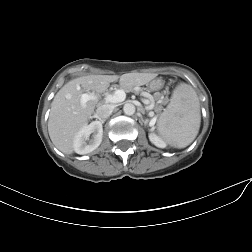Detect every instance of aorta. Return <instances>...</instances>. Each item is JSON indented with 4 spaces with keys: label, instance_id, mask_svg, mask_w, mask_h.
Returning a JSON list of instances; mask_svg holds the SVG:
<instances>
[{
    "label": "aorta",
    "instance_id": "1",
    "mask_svg": "<svg viewBox=\"0 0 252 252\" xmlns=\"http://www.w3.org/2000/svg\"><path fill=\"white\" fill-rule=\"evenodd\" d=\"M123 111L126 115H133L136 111V108L135 106L132 104V103H126L124 106H123Z\"/></svg>",
    "mask_w": 252,
    "mask_h": 252
}]
</instances>
